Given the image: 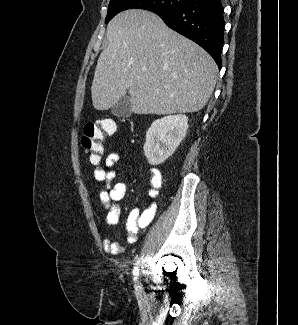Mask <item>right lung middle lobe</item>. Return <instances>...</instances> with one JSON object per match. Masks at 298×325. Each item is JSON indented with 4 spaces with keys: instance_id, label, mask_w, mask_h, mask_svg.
Segmentation results:
<instances>
[{
    "instance_id": "1",
    "label": "right lung middle lobe",
    "mask_w": 298,
    "mask_h": 325,
    "mask_svg": "<svg viewBox=\"0 0 298 325\" xmlns=\"http://www.w3.org/2000/svg\"><path fill=\"white\" fill-rule=\"evenodd\" d=\"M191 0H111L105 23L123 10L138 8L152 12L157 10L169 11L183 7Z\"/></svg>"
}]
</instances>
